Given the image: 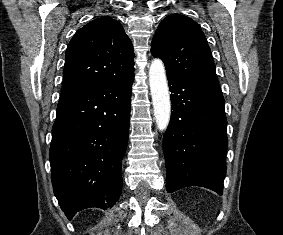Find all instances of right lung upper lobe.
I'll return each mask as SVG.
<instances>
[{"mask_svg": "<svg viewBox=\"0 0 283 235\" xmlns=\"http://www.w3.org/2000/svg\"><path fill=\"white\" fill-rule=\"evenodd\" d=\"M133 46L121 24L109 17L92 20L70 41L60 98L122 79L134 72Z\"/></svg>", "mask_w": 283, "mask_h": 235, "instance_id": "1", "label": "right lung upper lobe"}]
</instances>
